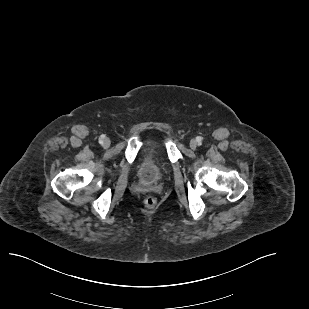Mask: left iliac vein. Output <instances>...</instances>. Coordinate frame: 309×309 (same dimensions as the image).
I'll return each instance as SVG.
<instances>
[{"label":"left iliac vein","mask_w":309,"mask_h":309,"mask_svg":"<svg viewBox=\"0 0 309 309\" xmlns=\"http://www.w3.org/2000/svg\"><path fill=\"white\" fill-rule=\"evenodd\" d=\"M197 141L196 140H194V139H192L191 141H190V148L191 149H193V150H195L196 148H197Z\"/></svg>","instance_id":"1"}]
</instances>
